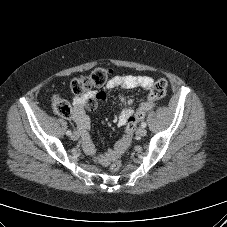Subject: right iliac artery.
Masks as SVG:
<instances>
[{
  "instance_id": "82829eb1",
  "label": "right iliac artery",
  "mask_w": 227,
  "mask_h": 227,
  "mask_svg": "<svg viewBox=\"0 0 227 227\" xmlns=\"http://www.w3.org/2000/svg\"><path fill=\"white\" fill-rule=\"evenodd\" d=\"M66 134H67L68 136H70V135L72 134V132H71L70 130H68V131L66 132Z\"/></svg>"
}]
</instances>
